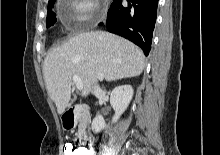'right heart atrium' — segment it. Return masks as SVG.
<instances>
[{"instance_id": "d8ad5b80", "label": "right heart atrium", "mask_w": 220, "mask_h": 155, "mask_svg": "<svg viewBox=\"0 0 220 155\" xmlns=\"http://www.w3.org/2000/svg\"><path fill=\"white\" fill-rule=\"evenodd\" d=\"M73 19L79 27L94 25L100 17L99 0H72Z\"/></svg>"}]
</instances>
